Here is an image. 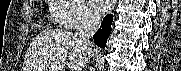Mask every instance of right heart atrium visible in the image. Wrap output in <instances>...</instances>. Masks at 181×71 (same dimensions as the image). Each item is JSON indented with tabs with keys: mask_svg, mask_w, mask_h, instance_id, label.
I'll return each mask as SVG.
<instances>
[{
	"mask_svg": "<svg viewBox=\"0 0 181 71\" xmlns=\"http://www.w3.org/2000/svg\"><path fill=\"white\" fill-rule=\"evenodd\" d=\"M55 3L62 7L57 21L65 28L90 26L97 21L84 0H56Z\"/></svg>",
	"mask_w": 181,
	"mask_h": 71,
	"instance_id": "1",
	"label": "right heart atrium"
}]
</instances>
